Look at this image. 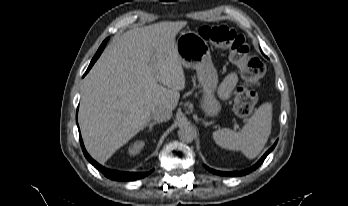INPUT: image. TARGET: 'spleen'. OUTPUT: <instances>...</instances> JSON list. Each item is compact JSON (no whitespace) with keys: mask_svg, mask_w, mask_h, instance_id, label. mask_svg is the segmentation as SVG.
<instances>
[{"mask_svg":"<svg viewBox=\"0 0 348 206\" xmlns=\"http://www.w3.org/2000/svg\"><path fill=\"white\" fill-rule=\"evenodd\" d=\"M271 127L272 107L265 103L248 119L241 131L223 128L213 132V139L222 148L241 151L249 159H254L267 143Z\"/></svg>","mask_w":348,"mask_h":206,"instance_id":"3e777b00","label":"spleen"}]
</instances>
